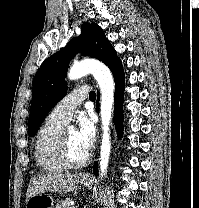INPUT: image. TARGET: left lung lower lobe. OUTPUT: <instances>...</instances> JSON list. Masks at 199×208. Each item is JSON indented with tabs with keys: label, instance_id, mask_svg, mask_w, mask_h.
<instances>
[{
	"label": "left lung lower lobe",
	"instance_id": "1",
	"mask_svg": "<svg viewBox=\"0 0 199 208\" xmlns=\"http://www.w3.org/2000/svg\"><path fill=\"white\" fill-rule=\"evenodd\" d=\"M114 81H115V117L114 121L116 124V127L118 129L119 136L122 135V120H123V111H122V105H123V97H124V80L125 75L123 72V67L121 61H118L116 64H114L110 68ZM99 100V96H98ZM97 111H99L98 102H97ZM98 165L97 163L94 164V173L98 175Z\"/></svg>",
	"mask_w": 199,
	"mask_h": 208
}]
</instances>
